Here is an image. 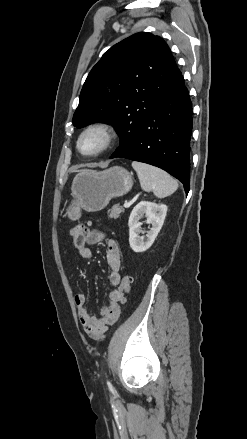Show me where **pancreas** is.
I'll return each mask as SVG.
<instances>
[{
    "label": "pancreas",
    "mask_w": 247,
    "mask_h": 439,
    "mask_svg": "<svg viewBox=\"0 0 247 439\" xmlns=\"http://www.w3.org/2000/svg\"><path fill=\"white\" fill-rule=\"evenodd\" d=\"M124 212L122 207H119L118 204L114 205L112 209L108 210V216L112 219H118L120 214Z\"/></svg>",
    "instance_id": "1"
}]
</instances>
